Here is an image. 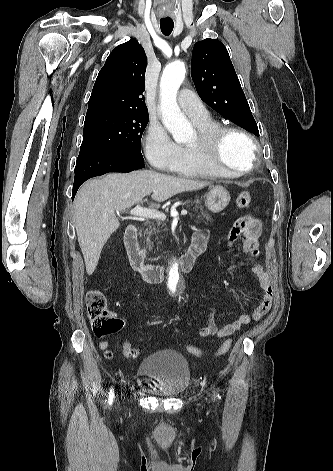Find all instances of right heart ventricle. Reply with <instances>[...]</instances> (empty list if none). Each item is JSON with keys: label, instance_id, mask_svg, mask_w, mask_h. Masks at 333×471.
<instances>
[{"label": "right heart ventricle", "instance_id": "e07e8e85", "mask_svg": "<svg viewBox=\"0 0 333 471\" xmlns=\"http://www.w3.org/2000/svg\"><path fill=\"white\" fill-rule=\"evenodd\" d=\"M194 122L199 130L219 125L209 116L201 120H194ZM171 172L181 176L197 178L235 177V175H227L217 171L197 155L190 145L180 146V158Z\"/></svg>", "mask_w": 333, "mask_h": 471}]
</instances>
